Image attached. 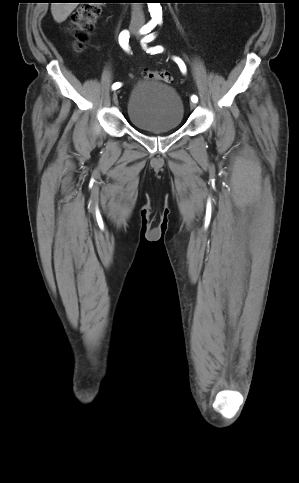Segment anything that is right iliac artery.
<instances>
[{
    "instance_id": "1",
    "label": "right iliac artery",
    "mask_w": 299,
    "mask_h": 483,
    "mask_svg": "<svg viewBox=\"0 0 299 483\" xmlns=\"http://www.w3.org/2000/svg\"><path fill=\"white\" fill-rule=\"evenodd\" d=\"M156 26V23H150L148 25H145L141 30H140V33L141 34H147L149 33L154 27ZM128 42H129V32L127 30H124L120 33L119 35V43L121 45V47L126 50V51H129V45H128ZM121 83L120 82H116L112 85V89L113 90H116L118 88L121 87Z\"/></svg>"
}]
</instances>
